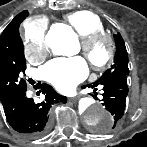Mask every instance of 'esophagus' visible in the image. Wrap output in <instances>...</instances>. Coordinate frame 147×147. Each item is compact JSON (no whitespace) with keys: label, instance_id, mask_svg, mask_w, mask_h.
I'll return each mask as SVG.
<instances>
[{"label":"esophagus","instance_id":"esophagus-1","mask_svg":"<svg viewBox=\"0 0 147 147\" xmlns=\"http://www.w3.org/2000/svg\"><path fill=\"white\" fill-rule=\"evenodd\" d=\"M68 100L73 102V101H76L77 98L76 97H70Z\"/></svg>","mask_w":147,"mask_h":147}]
</instances>
